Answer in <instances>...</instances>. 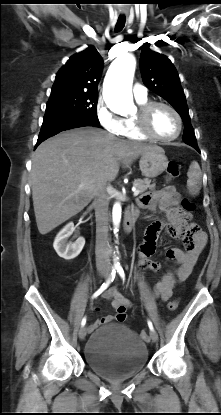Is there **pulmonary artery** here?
<instances>
[{"label":"pulmonary artery","instance_id":"1","mask_svg":"<svg viewBox=\"0 0 221 415\" xmlns=\"http://www.w3.org/2000/svg\"><path fill=\"white\" fill-rule=\"evenodd\" d=\"M133 93L136 99H145L147 98V89L145 86L135 83L133 87Z\"/></svg>","mask_w":221,"mask_h":415}]
</instances>
